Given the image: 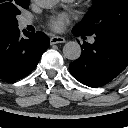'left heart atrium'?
I'll return each instance as SVG.
<instances>
[{"instance_id": "1", "label": "left heart atrium", "mask_w": 128, "mask_h": 128, "mask_svg": "<svg viewBox=\"0 0 128 128\" xmlns=\"http://www.w3.org/2000/svg\"><path fill=\"white\" fill-rule=\"evenodd\" d=\"M67 23L68 18L65 15L54 16L49 20V26L56 31L62 30Z\"/></svg>"}]
</instances>
